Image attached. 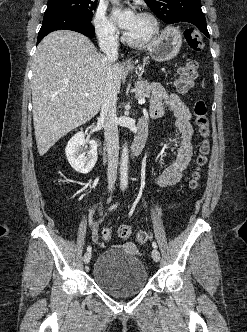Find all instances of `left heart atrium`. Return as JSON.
I'll use <instances>...</instances> for the list:
<instances>
[{
    "mask_svg": "<svg viewBox=\"0 0 247 332\" xmlns=\"http://www.w3.org/2000/svg\"><path fill=\"white\" fill-rule=\"evenodd\" d=\"M137 14L133 9H124V10H114L113 18L116 23L124 29L128 31L134 24Z\"/></svg>",
    "mask_w": 247,
    "mask_h": 332,
    "instance_id": "1",
    "label": "left heart atrium"
}]
</instances>
